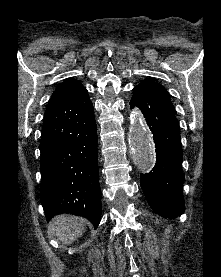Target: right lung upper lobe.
Masks as SVG:
<instances>
[{
    "label": "right lung upper lobe",
    "instance_id": "obj_1",
    "mask_svg": "<svg viewBox=\"0 0 221 277\" xmlns=\"http://www.w3.org/2000/svg\"><path fill=\"white\" fill-rule=\"evenodd\" d=\"M85 90L83 85L74 79L64 81L52 94L50 101L58 100Z\"/></svg>",
    "mask_w": 221,
    "mask_h": 277
}]
</instances>
